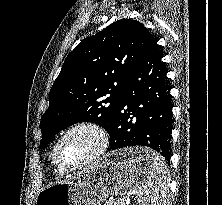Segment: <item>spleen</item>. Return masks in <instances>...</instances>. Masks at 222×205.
I'll use <instances>...</instances> for the list:
<instances>
[{
  "mask_svg": "<svg viewBox=\"0 0 222 205\" xmlns=\"http://www.w3.org/2000/svg\"><path fill=\"white\" fill-rule=\"evenodd\" d=\"M148 168L146 170L144 187L136 196L138 205H166L168 191V167L165 159L154 153L146 157Z\"/></svg>",
  "mask_w": 222,
  "mask_h": 205,
  "instance_id": "spleen-1",
  "label": "spleen"
}]
</instances>
